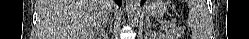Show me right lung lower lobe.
<instances>
[{"instance_id":"obj_1","label":"right lung lower lobe","mask_w":249,"mask_h":39,"mask_svg":"<svg viewBox=\"0 0 249 39\" xmlns=\"http://www.w3.org/2000/svg\"><path fill=\"white\" fill-rule=\"evenodd\" d=\"M119 6H121L122 0H115Z\"/></svg>"}]
</instances>
